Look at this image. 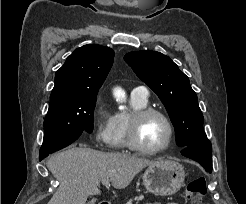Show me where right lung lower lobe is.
I'll list each match as a JSON object with an SVG mask.
<instances>
[{"mask_svg": "<svg viewBox=\"0 0 246 204\" xmlns=\"http://www.w3.org/2000/svg\"><path fill=\"white\" fill-rule=\"evenodd\" d=\"M44 158H45V157H40L39 160H42V159H44Z\"/></svg>", "mask_w": 246, "mask_h": 204, "instance_id": "98d812e1", "label": "right lung lower lobe"}]
</instances>
